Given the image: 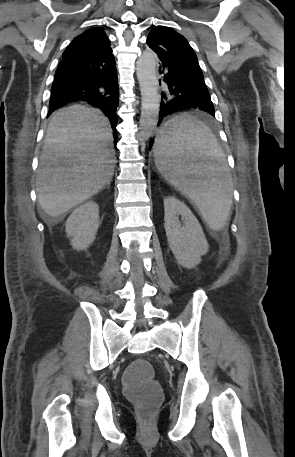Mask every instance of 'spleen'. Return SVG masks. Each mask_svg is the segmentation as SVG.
<instances>
[{"label": "spleen", "mask_w": 295, "mask_h": 457, "mask_svg": "<svg viewBox=\"0 0 295 457\" xmlns=\"http://www.w3.org/2000/svg\"><path fill=\"white\" fill-rule=\"evenodd\" d=\"M154 155L161 175L198 206L213 231L222 230L232 204L233 182L210 129L191 115L176 116L159 131Z\"/></svg>", "instance_id": "1"}]
</instances>
